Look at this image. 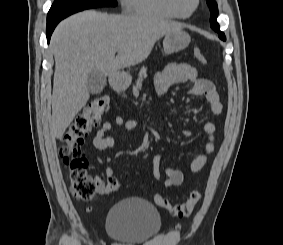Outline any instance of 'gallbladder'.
I'll use <instances>...</instances> for the list:
<instances>
[{"label":"gallbladder","mask_w":283,"mask_h":245,"mask_svg":"<svg viewBox=\"0 0 283 245\" xmlns=\"http://www.w3.org/2000/svg\"><path fill=\"white\" fill-rule=\"evenodd\" d=\"M107 84L106 76L98 71L92 70L87 77V87L90 93H101Z\"/></svg>","instance_id":"bac80fb5"}]
</instances>
